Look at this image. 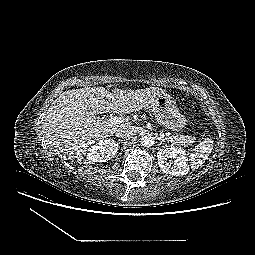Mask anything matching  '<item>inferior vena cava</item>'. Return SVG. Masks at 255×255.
Masks as SVG:
<instances>
[{
	"label": "inferior vena cava",
	"mask_w": 255,
	"mask_h": 255,
	"mask_svg": "<svg viewBox=\"0 0 255 255\" xmlns=\"http://www.w3.org/2000/svg\"><path fill=\"white\" fill-rule=\"evenodd\" d=\"M135 133V129L133 126L119 128L115 132V136L118 138H127L132 136Z\"/></svg>",
	"instance_id": "602c4592"
}]
</instances>
